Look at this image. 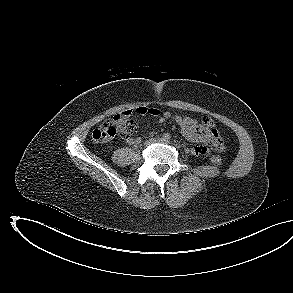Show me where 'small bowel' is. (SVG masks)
Returning a JSON list of instances; mask_svg holds the SVG:
<instances>
[{
  "mask_svg": "<svg viewBox=\"0 0 293 293\" xmlns=\"http://www.w3.org/2000/svg\"><path fill=\"white\" fill-rule=\"evenodd\" d=\"M132 113L138 115H152L159 117L160 122L172 119L181 129L182 135L191 142L201 143L191 149L194 155H207L213 151H222L224 143L212 119L205 117L201 123L188 116L173 115L169 111L161 113L158 109L138 107L133 111L125 112V115L130 116ZM126 142L130 145H138L141 143L140 137H128ZM202 149L204 151L202 152Z\"/></svg>",
  "mask_w": 293,
  "mask_h": 293,
  "instance_id": "1",
  "label": "small bowel"
}]
</instances>
